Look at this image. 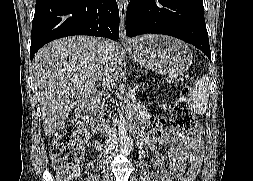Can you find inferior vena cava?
<instances>
[{
  "instance_id": "1",
  "label": "inferior vena cava",
  "mask_w": 253,
  "mask_h": 181,
  "mask_svg": "<svg viewBox=\"0 0 253 181\" xmlns=\"http://www.w3.org/2000/svg\"><path fill=\"white\" fill-rule=\"evenodd\" d=\"M102 61L104 63V70H105V77L103 79L102 86H103V90L110 96L109 93L111 92L113 88V81H112V77L110 76V72L113 69L111 68L112 64L109 63L110 57H109V52H108V43L105 44ZM109 133L114 134L115 130L113 128H110Z\"/></svg>"
}]
</instances>
